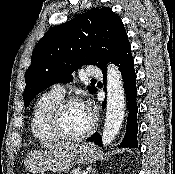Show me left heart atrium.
<instances>
[{
  "instance_id": "39dd6f15",
  "label": "left heart atrium",
  "mask_w": 175,
  "mask_h": 174,
  "mask_svg": "<svg viewBox=\"0 0 175 174\" xmlns=\"http://www.w3.org/2000/svg\"><path fill=\"white\" fill-rule=\"evenodd\" d=\"M86 109H87V111H88L90 117L92 118V117H93L92 109H91L90 107H88V106H86Z\"/></svg>"
}]
</instances>
